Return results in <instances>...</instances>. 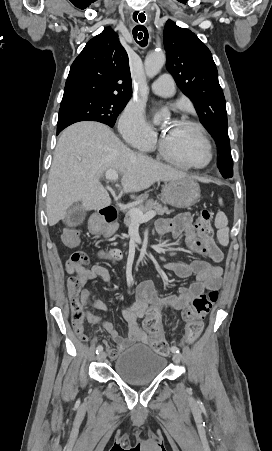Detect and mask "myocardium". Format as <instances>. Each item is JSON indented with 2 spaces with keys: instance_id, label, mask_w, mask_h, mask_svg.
I'll list each match as a JSON object with an SVG mask.
<instances>
[{
  "instance_id": "1",
  "label": "myocardium",
  "mask_w": 272,
  "mask_h": 451,
  "mask_svg": "<svg viewBox=\"0 0 272 451\" xmlns=\"http://www.w3.org/2000/svg\"><path fill=\"white\" fill-rule=\"evenodd\" d=\"M175 121H177L181 124H184L188 127H191L197 132V134L205 148L206 154H207V160L203 165L197 166V165H192V164L186 163L185 168L188 170H192V171H199V170H203V169H206L207 167H209L213 161V150H212L211 144L205 134L203 127L199 123L191 121V120L183 118V117L176 118ZM161 150L165 156L169 155V146L167 144L165 135H162V137H161ZM171 160L176 164H178L181 161L176 155H173L171 157Z\"/></svg>"
}]
</instances>
